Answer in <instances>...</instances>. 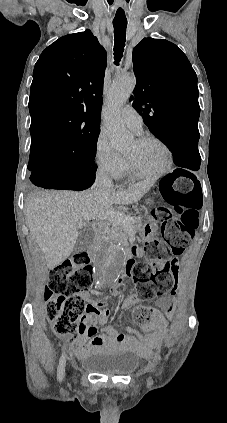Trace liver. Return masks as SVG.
<instances>
[{
  "instance_id": "obj_1",
  "label": "liver",
  "mask_w": 227,
  "mask_h": 423,
  "mask_svg": "<svg viewBox=\"0 0 227 423\" xmlns=\"http://www.w3.org/2000/svg\"><path fill=\"white\" fill-rule=\"evenodd\" d=\"M151 188L150 182L130 184L127 190H102L92 186L85 192H38L26 200L30 233L52 269L74 249L80 227H86L96 211L111 210L113 204H137Z\"/></svg>"
}]
</instances>
